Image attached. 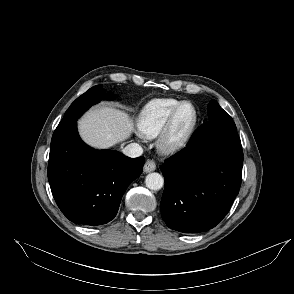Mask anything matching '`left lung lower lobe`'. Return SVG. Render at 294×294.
I'll list each match as a JSON object with an SVG mask.
<instances>
[{"label":"left lung lower lobe","instance_id":"obj_1","mask_svg":"<svg viewBox=\"0 0 294 294\" xmlns=\"http://www.w3.org/2000/svg\"><path fill=\"white\" fill-rule=\"evenodd\" d=\"M242 165L233 120L201 125L187 146L160 167L165 180L160 208L167 226L184 233L215 227L239 193Z\"/></svg>","mask_w":294,"mask_h":294}]
</instances>
